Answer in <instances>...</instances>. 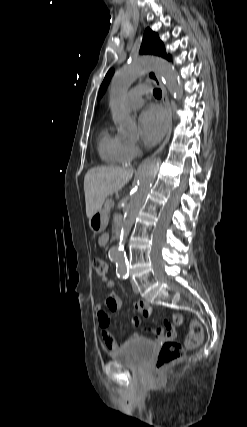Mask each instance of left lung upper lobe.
Here are the masks:
<instances>
[{
	"label": "left lung upper lobe",
	"mask_w": 247,
	"mask_h": 427,
	"mask_svg": "<svg viewBox=\"0 0 247 427\" xmlns=\"http://www.w3.org/2000/svg\"><path fill=\"white\" fill-rule=\"evenodd\" d=\"M140 53L158 55L168 60L171 59V57L166 54L165 47L163 43L159 40L158 35L152 32L149 28H147L144 33ZM113 72L114 70L110 69L106 74L104 81L99 90L98 99H100L103 93L105 92L106 87L113 75Z\"/></svg>",
	"instance_id": "5c2ea615"
}]
</instances>
